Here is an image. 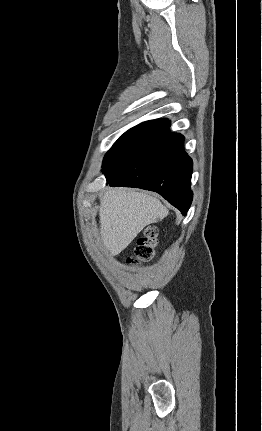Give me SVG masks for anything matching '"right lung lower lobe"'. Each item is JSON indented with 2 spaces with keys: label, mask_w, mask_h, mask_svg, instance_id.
I'll return each instance as SVG.
<instances>
[{
  "label": "right lung lower lobe",
  "mask_w": 262,
  "mask_h": 431,
  "mask_svg": "<svg viewBox=\"0 0 262 431\" xmlns=\"http://www.w3.org/2000/svg\"><path fill=\"white\" fill-rule=\"evenodd\" d=\"M169 126L168 119H156L124 133L105 155L102 171L110 186L155 191L186 215L193 163L184 137L170 133Z\"/></svg>",
  "instance_id": "98d812e1"
}]
</instances>
